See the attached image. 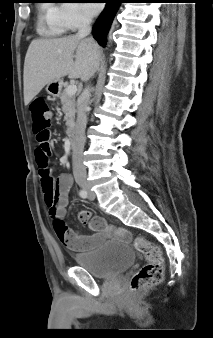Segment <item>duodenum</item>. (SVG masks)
<instances>
[{"label": "duodenum", "mask_w": 213, "mask_h": 338, "mask_svg": "<svg viewBox=\"0 0 213 338\" xmlns=\"http://www.w3.org/2000/svg\"><path fill=\"white\" fill-rule=\"evenodd\" d=\"M73 133H74V130L72 129V135H73Z\"/></svg>", "instance_id": "obj_1"}]
</instances>
